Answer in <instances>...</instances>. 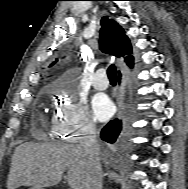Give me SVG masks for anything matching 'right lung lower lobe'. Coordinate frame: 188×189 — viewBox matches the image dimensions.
Listing matches in <instances>:
<instances>
[{
    "mask_svg": "<svg viewBox=\"0 0 188 189\" xmlns=\"http://www.w3.org/2000/svg\"><path fill=\"white\" fill-rule=\"evenodd\" d=\"M121 79V75L119 74V82ZM121 131V121L120 120H113L110 121L101 131V139L108 142L114 143Z\"/></svg>",
    "mask_w": 188,
    "mask_h": 189,
    "instance_id": "right-lung-lower-lobe-1",
    "label": "right lung lower lobe"
}]
</instances>
